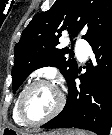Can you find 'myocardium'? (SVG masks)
<instances>
[{
	"instance_id": "obj_1",
	"label": "myocardium",
	"mask_w": 112,
	"mask_h": 135,
	"mask_svg": "<svg viewBox=\"0 0 112 135\" xmlns=\"http://www.w3.org/2000/svg\"><path fill=\"white\" fill-rule=\"evenodd\" d=\"M39 85H50L53 86L58 94H59V102L57 104V106L55 107V109L49 113L48 115L44 116V117H40V118H34L32 116H30L26 110V98L29 94V92L36 86ZM65 104V96L64 93L62 92V90L51 80L49 79H37L33 82H31L29 85H27L20 97H19V101H18V114L20 116V118L27 124L29 125H38L41 123H45L51 119H53L54 117H56L63 109Z\"/></svg>"
}]
</instances>
